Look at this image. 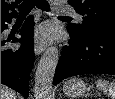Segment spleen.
I'll return each mask as SVG.
<instances>
[{
    "label": "spleen",
    "instance_id": "spleen-1",
    "mask_svg": "<svg viewBox=\"0 0 115 99\" xmlns=\"http://www.w3.org/2000/svg\"><path fill=\"white\" fill-rule=\"evenodd\" d=\"M97 88L102 90L104 93H107L111 99H115V83H110L106 80H97Z\"/></svg>",
    "mask_w": 115,
    "mask_h": 99
}]
</instances>
